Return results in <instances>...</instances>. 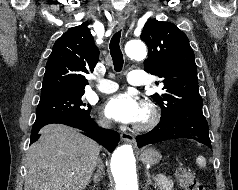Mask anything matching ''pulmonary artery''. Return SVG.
I'll use <instances>...</instances> for the list:
<instances>
[{"mask_svg": "<svg viewBox=\"0 0 238 190\" xmlns=\"http://www.w3.org/2000/svg\"><path fill=\"white\" fill-rule=\"evenodd\" d=\"M128 82L134 86H143L146 84V73L142 70H133L128 75ZM118 89L116 82L103 79L99 83L98 90L102 93H112Z\"/></svg>", "mask_w": 238, "mask_h": 190, "instance_id": "e3ab8cb5", "label": "pulmonary artery"}]
</instances>
